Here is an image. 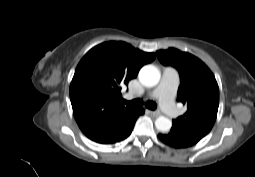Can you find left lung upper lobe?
Here are the masks:
<instances>
[{
    "label": "left lung upper lobe",
    "mask_w": 255,
    "mask_h": 177,
    "mask_svg": "<svg viewBox=\"0 0 255 177\" xmlns=\"http://www.w3.org/2000/svg\"><path fill=\"white\" fill-rule=\"evenodd\" d=\"M156 54L163 65L173 66L180 75L177 101L185 104L187 111L173 120V127L202 139L212 129L219 106V88L213 73L187 52L169 48Z\"/></svg>",
    "instance_id": "1"
}]
</instances>
